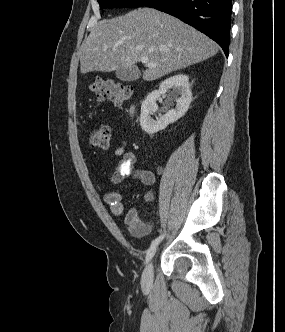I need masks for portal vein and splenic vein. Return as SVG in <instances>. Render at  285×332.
<instances>
[{"label":"portal vein and splenic vein","instance_id":"obj_1","mask_svg":"<svg viewBox=\"0 0 285 332\" xmlns=\"http://www.w3.org/2000/svg\"><path fill=\"white\" fill-rule=\"evenodd\" d=\"M140 61H141L143 64H147L149 68H154V67L157 66V65L154 64V63H149V59H148V57H142V58L140 59Z\"/></svg>","mask_w":285,"mask_h":332}]
</instances>
